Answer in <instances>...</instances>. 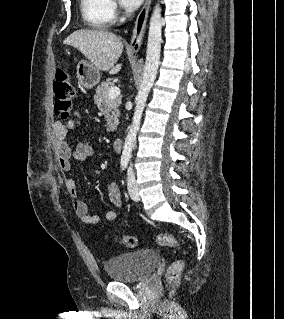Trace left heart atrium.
Wrapping results in <instances>:
<instances>
[{"label": "left heart atrium", "instance_id": "1", "mask_svg": "<svg viewBox=\"0 0 284 319\" xmlns=\"http://www.w3.org/2000/svg\"><path fill=\"white\" fill-rule=\"evenodd\" d=\"M142 2L143 0H120L121 6L130 11L137 9Z\"/></svg>", "mask_w": 284, "mask_h": 319}]
</instances>
